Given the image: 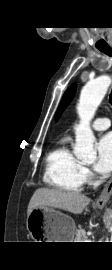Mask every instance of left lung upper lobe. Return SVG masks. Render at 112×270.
<instances>
[{
  "label": "left lung upper lobe",
  "mask_w": 112,
  "mask_h": 270,
  "mask_svg": "<svg viewBox=\"0 0 112 270\" xmlns=\"http://www.w3.org/2000/svg\"><path fill=\"white\" fill-rule=\"evenodd\" d=\"M75 85H71L65 92L61 103L56 111L55 114V119L57 120L59 118V116L61 115V113L63 112L64 108L66 107L67 104H69V102L72 100L74 94H75Z\"/></svg>",
  "instance_id": "obj_1"
}]
</instances>
